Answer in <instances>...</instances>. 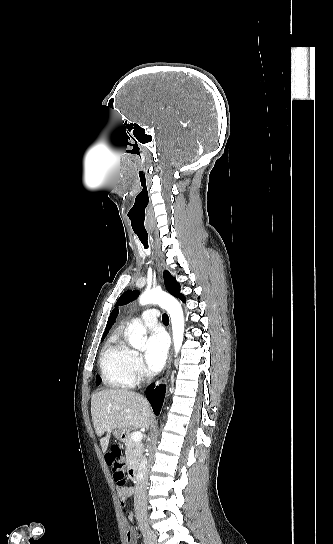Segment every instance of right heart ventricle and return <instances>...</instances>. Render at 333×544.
<instances>
[{"instance_id": "obj_1", "label": "right heart ventricle", "mask_w": 333, "mask_h": 544, "mask_svg": "<svg viewBox=\"0 0 333 544\" xmlns=\"http://www.w3.org/2000/svg\"><path fill=\"white\" fill-rule=\"evenodd\" d=\"M130 349L119 332L113 333L102 348L99 364L104 383L116 388H130L134 380L129 369Z\"/></svg>"}]
</instances>
